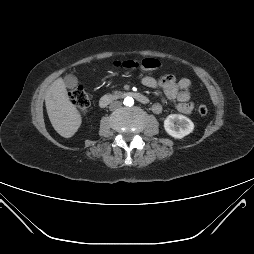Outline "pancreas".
I'll use <instances>...</instances> for the list:
<instances>
[{"label": "pancreas", "mask_w": 254, "mask_h": 254, "mask_svg": "<svg viewBox=\"0 0 254 254\" xmlns=\"http://www.w3.org/2000/svg\"><path fill=\"white\" fill-rule=\"evenodd\" d=\"M114 93L116 94V93H118V91H114Z\"/></svg>", "instance_id": "obj_1"}]
</instances>
